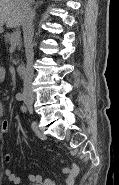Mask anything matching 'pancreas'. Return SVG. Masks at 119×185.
Listing matches in <instances>:
<instances>
[{
  "label": "pancreas",
  "instance_id": "1",
  "mask_svg": "<svg viewBox=\"0 0 119 185\" xmlns=\"http://www.w3.org/2000/svg\"><path fill=\"white\" fill-rule=\"evenodd\" d=\"M13 34H10V33H7L4 37H5V42L6 43H9L10 40H11V37H12ZM22 46L21 42L19 41L18 43V49H20Z\"/></svg>",
  "mask_w": 119,
  "mask_h": 185
}]
</instances>
